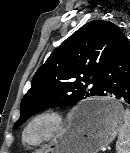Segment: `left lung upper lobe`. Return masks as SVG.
<instances>
[{"instance_id": "1", "label": "left lung upper lobe", "mask_w": 130, "mask_h": 153, "mask_svg": "<svg viewBox=\"0 0 130 153\" xmlns=\"http://www.w3.org/2000/svg\"><path fill=\"white\" fill-rule=\"evenodd\" d=\"M122 34L112 22L94 20L67 38L34 74L13 128L46 108L71 106L98 95L101 71Z\"/></svg>"}]
</instances>
